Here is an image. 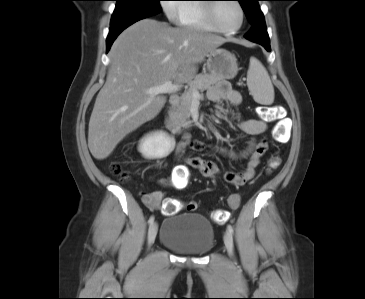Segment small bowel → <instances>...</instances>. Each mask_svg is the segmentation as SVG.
<instances>
[{
	"mask_svg": "<svg viewBox=\"0 0 365 299\" xmlns=\"http://www.w3.org/2000/svg\"><path fill=\"white\" fill-rule=\"evenodd\" d=\"M208 98L213 103H229L231 105H238L242 100L240 93L232 89L227 83H220L212 88L208 93ZM238 127L251 138L247 147L237 154V156L246 159L247 162L241 171H226L223 174V178L227 183L234 186H243L254 177L256 168L261 163L267 150V142L265 140L257 141L255 139L266 131L267 124L258 119H242L238 121ZM188 147L199 151L204 148V144L200 141H191L190 134L184 133L182 140L176 146V155L182 157ZM224 153L230 156H236V154L229 151H224ZM188 167L197 169L203 177L210 179L216 178L221 171L220 167L210 160L189 157L186 159V165L176 166L173 177L163 179L161 183L165 186L177 187L176 177L178 175H184ZM163 198L164 194L161 191H152L143 196L144 203L150 209H159L162 205Z\"/></svg>",
	"mask_w": 365,
	"mask_h": 299,
	"instance_id": "1",
	"label": "small bowel"
}]
</instances>
